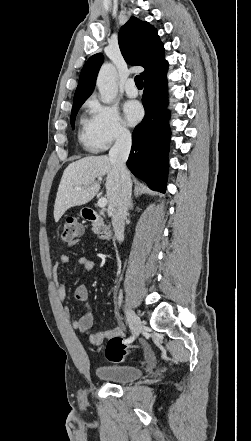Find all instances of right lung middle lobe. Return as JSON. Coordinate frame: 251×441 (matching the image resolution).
I'll use <instances>...</instances> for the list:
<instances>
[{"label": "right lung middle lobe", "mask_w": 251, "mask_h": 441, "mask_svg": "<svg viewBox=\"0 0 251 441\" xmlns=\"http://www.w3.org/2000/svg\"><path fill=\"white\" fill-rule=\"evenodd\" d=\"M84 102H85V99L73 102V107H72V112H71V125L73 128L75 125V118H76L77 112Z\"/></svg>", "instance_id": "obj_1"}]
</instances>
